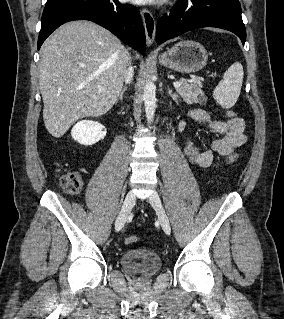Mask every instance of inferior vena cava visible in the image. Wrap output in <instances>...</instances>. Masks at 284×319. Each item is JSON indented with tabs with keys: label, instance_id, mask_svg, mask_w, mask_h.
<instances>
[{
	"label": "inferior vena cava",
	"instance_id": "602c4592",
	"mask_svg": "<svg viewBox=\"0 0 284 319\" xmlns=\"http://www.w3.org/2000/svg\"><path fill=\"white\" fill-rule=\"evenodd\" d=\"M127 59H130V58L127 57ZM133 75H134V70L131 66H129L127 70L125 71V82L130 83Z\"/></svg>",
	"mask_w": 284,
	"mask_h": 319
}]
</instances>
